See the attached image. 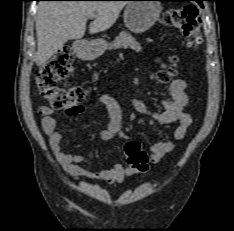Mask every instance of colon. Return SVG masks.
Here are the masks:
<instances>
[{
	"label": "colon",
	"instance_id": "colon-1",
	"mask_svg": "<svg viewBox=\"0 0 234 231\" xmlns=\"http://www.w3.org/2000/svg\"><path fill=\"white\" fill-rule=\"evenodd\" d=\"M163 23L179 30L186 40L193 45L199 44L200 23L198 10L193 5H184L170 9L163 14ZM176 61V58H173ZM73 72L72 55L69 50L59 51L44 66L34 74V83L41 95L57 110L69 111L81 103L87 96V89L81 86H59L58 82L69 77ZM175 74L174 69L160 71L156 77L160 82H168ZM125 155L128 163L143 173L148 169V155L136 141L125 145Z\"/></svg>",
	"mask_w": 234,
	"mask_h": 231
}]
</instances>
